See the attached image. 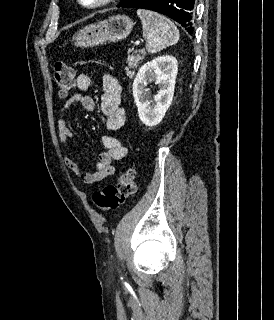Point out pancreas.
<instances>
[{
	"mask_svg": "<svg viewBox=\"0 0 274 320\" xmlns=\"http://www.w3.org/2000/svg\"><path fill=\"white\" fill-rule=\"evenodd\" d=\"M144 56H146L144 50H136L133 54H128L127 68H125L126 76H128V78H133L137 64H140V62L144 60Z\"/></svg>",
	"mask_w": 274,
	"mask_h": 320,
	"instance_id": "1",
	"label": "pancreas"
}]
</instances>
